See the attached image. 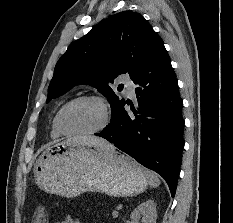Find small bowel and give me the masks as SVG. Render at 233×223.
Masks as SVG:
<instances>
[{
	"mask_svg": "<svg viewBox=\"0 0 233 223\" xmlns=\"http://www.w3.org/2000/svg\"><path fill=\"white\" fill-rule=\"evenodd\" d=\"M58 223H81V220H79L78 218L71 217V216H66L61 221H58Z\"/></svg>",
	"mask_w": 233,
	"mask_h": 223,
	"instance_id": "small-bowel-1",
	"label": "small bowel"
}]
</instances>
